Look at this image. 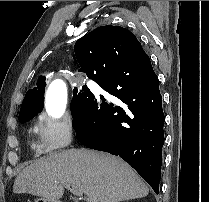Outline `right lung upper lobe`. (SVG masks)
<instances>
[{"instance_id":"obj_1","label":"right lung upper lobe","mask_w":209,"mask_h":202,"mask_svg":"<svg viewBox=\"0 0 209 202\" xmlns=\"http://www.w3.org/2000/svg\"><path fill=\"white\" fill-rule=\"evenodd\" d=\"M79 72L99 82L112 77L123 83L130 73L142 70L139 61L147 56L136 36L119 26H101L76 41L74 47ZM45 77L40 76L37 87L29 90L21 109L43 106Z\"/></svg>"}]
</instances>
